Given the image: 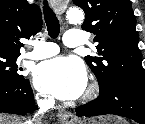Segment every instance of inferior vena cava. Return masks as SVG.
<instances>
[{"label":"inferior vena cava","mask_w":145,"mask_h":124,"mask_svg":"<svg viewBox=\"0 0 145 124\" xmlns=\"http://www.w3.org/2000/svg\"><path fill=\"white\" fill-rule=\"evenodd\" d=\"M38 106H39V111L38 113H36L33 117V121H37L36 124H41V115L44 113V111L50 106L54 104V100L53 99H49V100H39L38 102ZM26 124H32L31 121L26 122Z\"/></svg>","instance_id":"inferior-vena-cava-1"}]
</instances>
